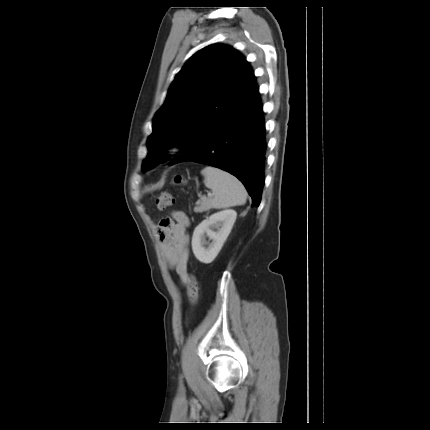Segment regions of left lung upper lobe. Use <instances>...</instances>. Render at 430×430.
Returning a JSON list of instances; mask_svg holds the SVG:
<instances>
[{
    "label": "left lung upper lobe",
    "mask_w": 430,
    "mask_h": 430,
    "mask_svg": "<svg viewBox=\"0 0 430 430\" xmlns=\"http://www.w3.org/2000/svg\"><path fill=\"white\" fill-rule=\"evenodd\" d=\"M257 89L252 68L237 50L212 44L196 52L175 76L154 117L142 171L154 167L153 161L168 159L162 154L167 145L186 150L201 126L226 118Z\"/></svg>",
    "instance_id": "5c2ea615"
}]
</instances>
